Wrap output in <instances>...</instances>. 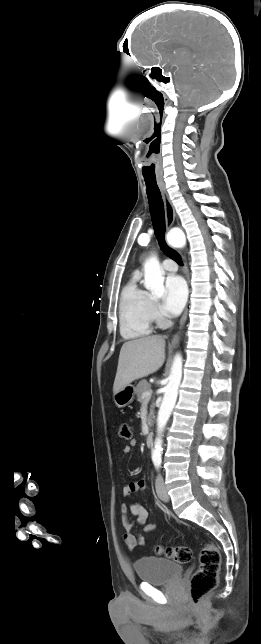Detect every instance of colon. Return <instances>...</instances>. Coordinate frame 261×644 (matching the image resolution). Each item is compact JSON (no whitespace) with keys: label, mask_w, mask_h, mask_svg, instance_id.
<instances>
[{"label":"colon","mask_w":261,"mask_h":644,"mask_svg":"<svg viewBox=\"0 0 261 644\" xmlns=\"http://www.w3.org/2000/svg\"><path fill=\"white\" fill-rule=\"evenodd\" d=\"M120 437L128 440L132 437V430L128 423L120 425ZM156 552L178 563H188L191 560V550L187 546L157 547ZM221 555L217 546L207 543L200 552L199 566L190 580V600L198 605L204 597L212 591L218 583Z\"/></svg>","instance_id":"obj_1"}]
</instances>
